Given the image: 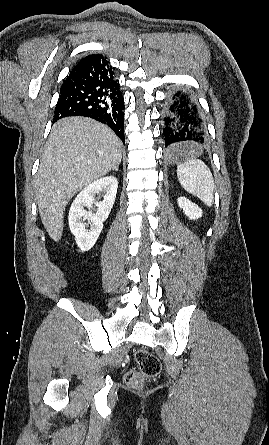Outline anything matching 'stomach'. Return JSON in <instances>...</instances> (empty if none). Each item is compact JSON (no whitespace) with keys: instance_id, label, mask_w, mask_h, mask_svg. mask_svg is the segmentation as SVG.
<instances>
[{"instance_id":"0dacf381","label":"stomach","mask_w":269,"mask_h":445,"mask_svg":"<svg viewBox=\"0 0 269 445\" xmlns=\"http://www.w3.org/2000/svg\"><path fill=\"white\" fill-rule=\"evenodd\" d=\"M187 159V154L184 151H179L170 154L169 161L173 163H180L182 161H185Z\"/></svg>"}]
</instances>
